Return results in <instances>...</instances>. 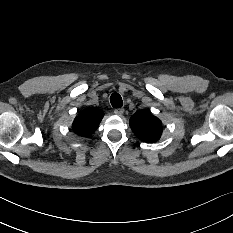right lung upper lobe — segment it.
Wrapping results in <instances>:
<instances>
[{
  "mask_svg": "<svg viewBox=\"0 0 233 233\" xmlns=\"http://www.w3.org/2000/svg\"><path fill=\"white\" fill-rule=\"evenodd\" d=\"M103 116L101 110L88 107L75 118L73 131L79 136L90 135L97 129Z\"/></svg>",
  "mask_w": 233,
  "mask_h": 233,
  "instance_id": "right-lung-upper-lobe-1",
  "label": "right lung upper lobe"
}]
</instances>
